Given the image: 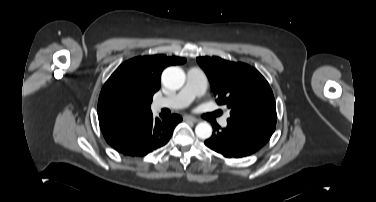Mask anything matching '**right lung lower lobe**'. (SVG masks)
I'll return each instance as SVG.
<instances>
[{"instance_id": "1", "label": "right lung lower lobe", "mask_w": 376, "mask_h": 202, "mask_svg": "<svg viewBox=\"0 0 376 202\" xmlns=\"http://www.w3.org/2000/svg\"><path fill=\"white\" fill-rule=\"evenodd\" d=\"M181 120L177 114L154 119L149 113L102 133L106 142L118 152L141 157L165 145Z\"/></svg>"}]
</instances>
